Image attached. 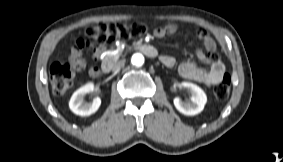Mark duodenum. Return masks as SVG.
I'll use <instances>...</instances> for the list:
<instances>
[{
	"label": "duodenum",
	"instance_id": "1",
	"mask_svg": "<svg viewBox=\"0 0 283 162\" xmlns=\"http://www.w3.org/2000/svg\"><path fill=\"white\" fill-rule=\"evenodd\" d=\"M136 47L149 57H156L158 54L156 48L147 43L138 44ZM112 68L113 63L111 61H105L101 64L104 73L109 72Z\"/></svg>",
	"mask_w": 283,
	"mask_h": 162
}]
</instances>
